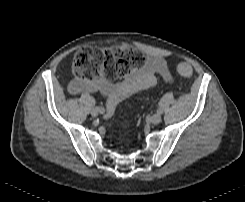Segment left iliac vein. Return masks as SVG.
Listing matches in <instances>:
<instances>
[{
	"instance_id": "obj_1",
	"label": "left iliac vein",
	"mask_w": 245,
	"mask_h": 202,
	"mask_svg": "<svg viewBox=\"0 0 245 202\" xmlns=\"http://www.w3.org/2000/svg\"><path fill=\"white\" fill-rule=\"evenodd\" d=\"M161 121V115L156 113L151 117V123L152 124H158Z\"/></svg>"
}]
</instances>
